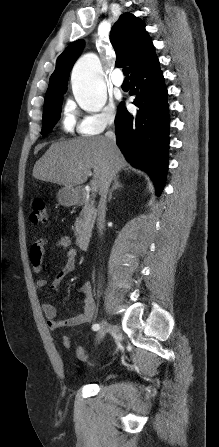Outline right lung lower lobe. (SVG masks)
Here are the masks:
<instances>
[{
  "label": "right lung lower lobe",
  "instance_id": "obj_1",
  "mask_svg": "<svg viewBox=\"0 0 219 447\" xmlns=\"http://www.w3.org/2000/svg\"><path fill=\"white\" fill-rule=\"evenodd\" d=\"M130 80V95H136L133 104L138 110L130 114L123 103L119 105L116 143L127 161L150 175L159 196L168 168L169 105L158 58Z\"/></svg>",
  "mask_w": 219,
  "mask_h": 447
}]
</instances>
